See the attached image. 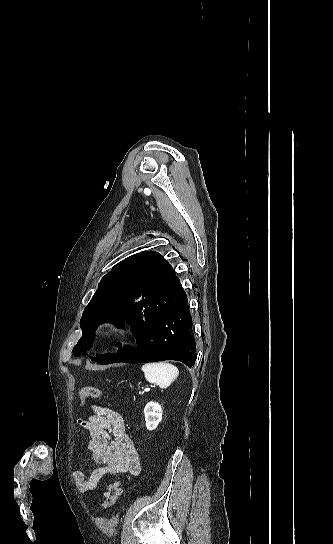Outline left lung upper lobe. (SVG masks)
<instances>
[{"instance_id": "left-lung-upper-lobe-1", "label": "left lung upper lobe", "mask_w": 333, "mask_h": 544, "mask_svg": "<svg viewBox=\"0 0 333 544\" xmlns=\"http://www.w3.org/2000/svg\"><path fill=\"white\" fill-rule=\"evenodd\" d=\"M183 293L172 266L159 253L146 251L122 260L102 278L85 308L80 320L83 335L73 354H86L92 332L102 322L115 319L134 326L154 320Z\"/></svg>"}]
</instances>
